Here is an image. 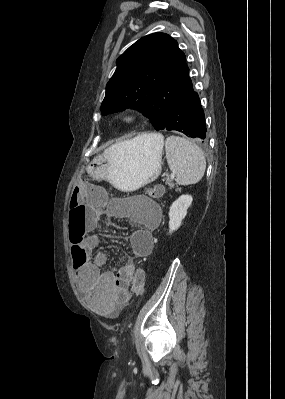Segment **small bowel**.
Masks as SVG:
<instances>
[{"label": "small bowel", "instance_id": "c3829d8e", "mask_svg": "<svg viewBox=\"0 0 285 399\" xmlns=\"http://www.w3.org/2000/svg\"><path fill=\"white\" fill-rule=\"evenodd\" d=\"M78 199L84 201L85 197L80 194ZM119 208L117 204L97 206V217L126 218L131 215L120 212ZM136 210L137 216L133 220L142 226L130 235V256L123 265L112 268L107 267L109 253L97 249L98 238L87 233L86 222H72L70 219L68 222L70 236L76 239L71 248L72 260L84 258L75 274L78 288L97 313L105 318L117 317L132 295H142L132 287L135 260L148 256L152 251V233L157 230L162 215L158 209H146L141 205H137Z\"/></svg>", "mask_w": 285, "mask_h": 399}]
</instances>
